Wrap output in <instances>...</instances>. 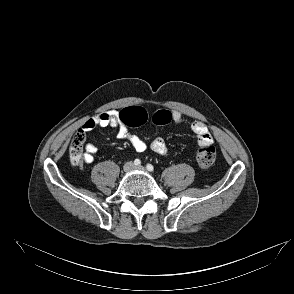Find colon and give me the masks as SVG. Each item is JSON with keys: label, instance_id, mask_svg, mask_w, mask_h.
Instances as JSON below:
<instances>
[{"label": "colon", "instance_id": "obj_1", "mask_svg": "<svg viewBox=\"0 0 294 294\" xmlns=\"http://www.w3.org/2000/svg\"><path fill=\"white\" fill-rule=\"evenodd\" d=\"M156 125H164L172 121V115L166 109H146L140 106H130L120 111V121L125 126L137 127L143 125L148 119ZM85 135L83 131H78L72 137L69 154L73 164L82 162L83 145ZM216 159V150L213 146L202 147L196 157L197 164L202 169L210 168Z\"/></svg>", "mask_w": 294, "mask_h": 294}]
</instances>
